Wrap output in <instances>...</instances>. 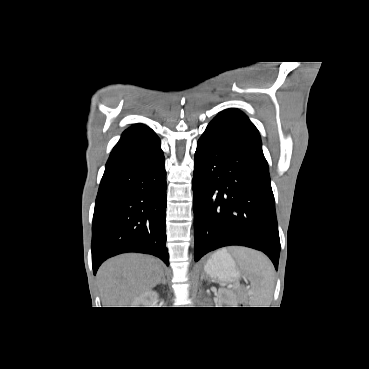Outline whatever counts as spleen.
<instances>
[{
	"instance_id": "3e777b00",
	"label": "spleen",
	"mask_w": 369,
	"mask_h": 369,
	"mask_svg": "<svg viewBox=\"0 0 369 369\" xmlns=\"http://www.w3.org/2000/svg\"><path fill=\"white\" fill-rule=\"evenodd\" d=\"M240 267L248 272L252 282L250 304L252 307H268L274 288V267L262 253L239 248L234 252Z\"/></svg>"
}]
</instances>
